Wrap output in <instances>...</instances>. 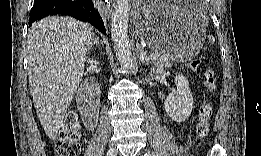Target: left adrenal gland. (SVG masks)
Returning a JSON list of instances; mask_svg holds the SVG:
<instances>
[{
  "label": "left adrenal gland",
  "instance_id": "a2214340",
  "mask_svg": "<svg viewBox=\"0 0 261 156\" xmlns=\"http://www.w3.org/2000/svg\"><path fill=\"white\" fill-rule=\"evenodd\" d=\"M137 46V50L139 51V55H140V60L143 64L149 65L150 64V59L147 56V53L145 51V49L138 43H136Z\"/></svg>",
  "mask_w": 261,
  "mask_h": 156
}]
</instances>
